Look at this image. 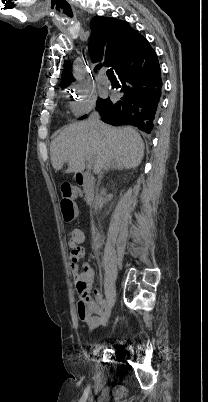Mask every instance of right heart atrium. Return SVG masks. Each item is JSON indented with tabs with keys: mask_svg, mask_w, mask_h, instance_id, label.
Segmentation results:
<instances>
[{
	"mask_svg": "<svg viewBox=\"0 0 208 402\" xmlns=\"http://www.w3.org/2000/svg\"><path fill=\"white\" fill-rule=\"evenodd\" d=\"M73 101L71 109L76 116L91 109L96 102L97 94L95 87L89 82L80 81L71 85Z\"/></svg>",
	"mask_w": 208,
	"mask_h": 402,
	"instance_id": "d8ad5b80",
	"label": "right heart atrium"
}]
</instances>
